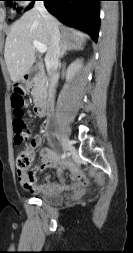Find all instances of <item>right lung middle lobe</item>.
I'll return each mask as SVG.
<instances>
[{
	"label": "right lung middle lobe",
	"mask_w": 133,
	"mask_h": 253,
	"mask_svg": "<svg viewBox=\"0 0 133 253\" xmlns=\"http://www.w3.org/2000/svg\"><path fill=\"white\" fill-rule=\"evenodd\" d=\"M4 1L11 2V1H20V0H4ZM18 11H19V9H18Z\"/></svg>",
	"instance_id": "obj_1"
}]
</instances>
